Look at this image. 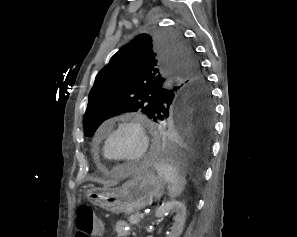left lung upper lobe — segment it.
I'll return each instance as SVG.
<instances>
[{
    "label": "left lung upper lobe",
    "mask_w": 297,
    "mask_h": 237,
    "mask_svg": "<svg viewBox=\"0 0 297 237\" xmlns=\"http://www.w3.org/2000/svg\"><path fill=\"white\" fill-rule=\"evenodd\" d=\"M210 89L192 49L175 32L138 35L96 76L83 118L91 137L106 119L141 110L157 122L174 104L210 101Z\"/></svg>",
    "instance_id": "5c2ea615"
}]
</instances>
